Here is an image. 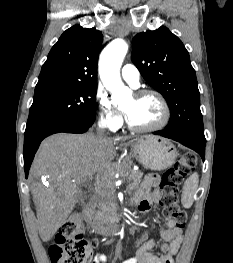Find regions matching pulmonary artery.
<instances>
[{
  "label": "pulmonary artery",
  "mask_w": 233,
  "mask_h": 263,
  "mask_svg": "<svg viewBox=\"0 0 233 263\" xmlns=\"http://www.w3.org/2000/svg\"><path fill=\"white\" fill-rule=\"evenodd\" d=\"M122 78L134 88L139 86L140 73L136 66L126 64L121 69Z\"/></svg>",
  "instance_id": "pulmonary-artery-1"
}]
</instances>
